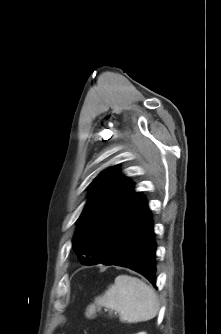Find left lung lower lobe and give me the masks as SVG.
<instances>
[{
	"label": "left lung lower lobe",
	"instance_id": "left-lung-lower-lobe-1",
	"mask_svg": "<svg viewBox=\"0 0 221 334\" xmlns=\"http://www.w3.org/2000/svg\"><path fill=\"white\" fill-rule=\"evenodd\" d=\"M153 222L146 199L135 193L100 238L91 265H116L143 275L156 288Z\"/></svg>",
	"mask_w": 221,
	"mask_h": 334
}]
</instances>
